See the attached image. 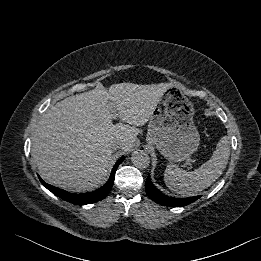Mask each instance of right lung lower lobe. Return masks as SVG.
Segmentation results:
<instances>
[{
  "mask_svg": "<svg viewBox=\"0 0 261 261\" xmlns=\"http://www.w3.org/2000/svg\"><path fill=\"white\" fill-rule=\"evenodd\" d=\"M124 159H125V157L123 156L116 162V164L114 165V167L112 169L110 178L104 186L97 189L96 191L89 192V193L72 194L65 190L51 186V185L45 183L39 176L38 177H39L40 181L42 182V184L48 190H50L53 194L57 195L58 197L62 198L63 200H66V201L71 202L76 205L90 204V203H94L99 200H102L108 195V193L110 192V190L112 189V186H113L116 170H117L118 166L123 162Z\"/></svg>",
  "mask_w": 261,
  "mask_h": 261,
  "instance_id": "98d812e1",
  "label": "right lung lower lobe"
}]
</instances>
